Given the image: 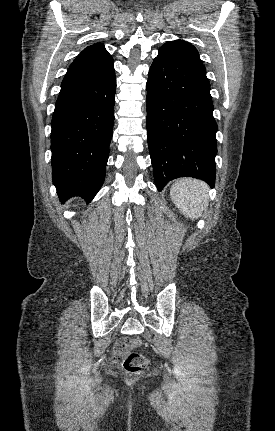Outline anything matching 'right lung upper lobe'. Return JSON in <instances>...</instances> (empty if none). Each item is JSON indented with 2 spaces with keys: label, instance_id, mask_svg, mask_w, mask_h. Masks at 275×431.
Wrapping results in <instances>:
<instances>
[{
  "label": "right lung upper lobe",
  "instance_id": "obj_1",
  "mask_svg": "<svg viewBox=\"0 0 275 431\" xmlns=\"http://www.w3.org/2000/svg\"><path fill=\"white\" fill-rule=\"evenodd\" d=\"M113 69V59L103 44L84 49L69 67L61 87L98 78Z\"/></svg>",
  "mask_w": 275,
  "mask_h": 431
}]
</instances>
